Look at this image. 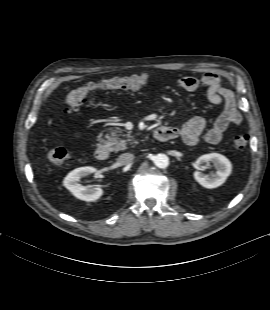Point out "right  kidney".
<instances>
[{
    "mask_svg": "<svg viewBox=\"0 0 270 310\" xmlns=\"http://www.w3.org/2000/svg\"><path fill=\"white\" fill-rule=\"evenodd\" d=\"M95 171L96 169L90 166L74 169L64 178L63 185L80 200L96 201L103 195V190L99 187L90 188L79 183L83 177Z\"/></svg>",
    "mask_w": 270,
    "mask_h": 310,
    "instance_id": "ca27d5eb",
    "label": "right kidney"
}]
</instances>
